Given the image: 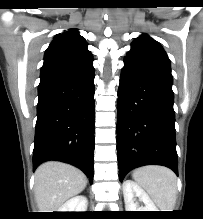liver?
Returning <instances> with one entry per match:
<instances>
[{"label":"liver","instance_id":"6515ba94","mask_svg":"<svg viewBox=\"0 0 203 219\" xmlns=\"http://www.w3.org/2000/svg\"><path fill=\"white\" fill-rule=\"evenodd\" d=\"M86 185V175L72 165L57 161L41 164L35 171V199L40 212H58Z\"/></svg>","mask_w":203,"mask_h":219}]
</instances>
